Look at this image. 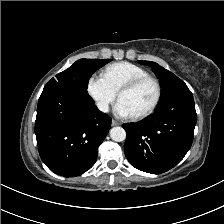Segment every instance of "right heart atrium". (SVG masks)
<instances>
[{
    "label": "right heart atrium",
    "instance_id": "1",
    "mask_svg": "<svg viewBox=\"0 0 224 224\" xmlns=\"http://www.w3.org/2000/svg\"><path fill=\"white\" fill-rule=\"evenodd\" d=\"M87 92L99 111L107 113L116 99V92L102 75H91L87 81Z\"/></svg>",
    "mask_w": 224,
    "mask_h": 224
}]
</instances>
